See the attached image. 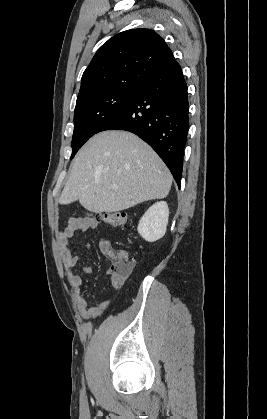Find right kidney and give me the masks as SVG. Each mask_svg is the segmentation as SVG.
Wrapping results in <instances>:
<instances>
[{
  "label": "right kidney",
  "instance_id": "ca27d5eb",
  "mask_svg": "<svg viewBox=\"0 0 267 419\" xmlns=\"http://www.w3.org/2000/svg\"><path fill=\"white\" fill-rule=\"evenodd\" d=\"M169 208L166 202L153 204L142 216L138 224V233L148 242L162 238L166 232Z\"/></svg>",
  "mask_w": 267,
  "mask_h": 419
}]
</instances>
